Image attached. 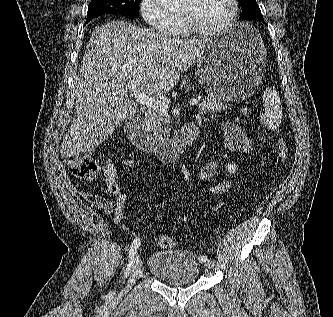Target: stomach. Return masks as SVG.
I'll return each mask as SVG.
<instances>
[{
  "instance_id": "stomach-1",
  "label": "stomach",
  "mask_w": 333,
  "mask_h": 317,
  "mask_svg": "<svg viewBox=\"0 0 333 317\" xmlns=\"http://www.w3.org/2000/svg\"><path fill=\"white\" fill-rule=\"evenodd\" d=\"M264 55L257 29L234 23L208 37L197 59L199 82L210 95L227 102L261 95Z\"/></svg>"
}]
</instances>
